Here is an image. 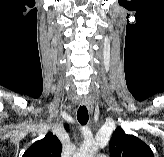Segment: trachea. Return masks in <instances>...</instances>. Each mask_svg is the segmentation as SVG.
I'll return each instance as SVG.
<instances>
[{
	"instance_id": "3493384b",
	"label": "trachea",
	"mask_w": 164,
	"mask_h": 157,
	"mask_svg": "<svg viewBox=\"0 0 164 157\" xmlns=\"http://www.w3.org/2000/svg\"><path fill=\"white\" fill-rule=\"evenodd\" d=\"M88 110L85 106H80L77 112V119L80 124L85 125L88 122Z\"/></svg>"
}]
</instances>
